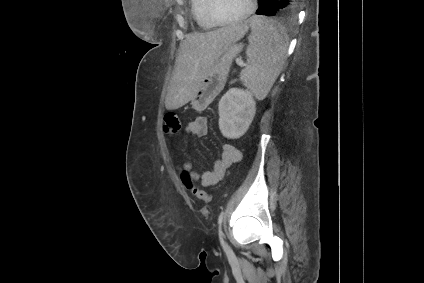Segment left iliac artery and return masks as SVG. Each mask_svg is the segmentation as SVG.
Segmentation results:
<instances>
[{"mask_svg":"<svg viewBox=\"0 0 424 283\" xmlns=\"http://www.w3.org/2000/svg\"><path fill=\"white\" fill-rule=\"evenodd\" d=\"M223 217H224V212L222 211L221 213H220V215H219V218H218V230H219V236H220V239L221 240H223L222 239V236H223V233H222V222H223ZM223 242V241H222Z\"/></svg>","mask_w":424,"mask_h":283,"instance_id":"1","label":"left iliac artery"}]
</instances>
